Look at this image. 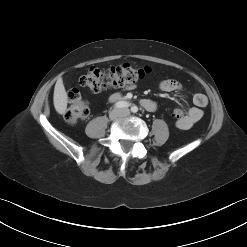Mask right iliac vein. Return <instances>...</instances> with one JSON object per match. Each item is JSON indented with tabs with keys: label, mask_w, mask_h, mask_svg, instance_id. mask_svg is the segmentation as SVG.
Returning a JSON list of instances; mask_svg holds the SVG:
<instances>
[{
	"label": "right iliac vein",
	"mask_w": 247,
	"mask_h": 247,
	"mask_svg": "<svg viewBox=\"0 0 247 247\" xmlns=\"http://www.w3.org/2000/svg\"><path fill=\"white\" fill-rule=\"evenodd\" d=\"M121 112L119 110H113L109 114L110 120H116L118 117H120Z\"/></svg>",
	"instance_id": "1"
}]
</instances>
